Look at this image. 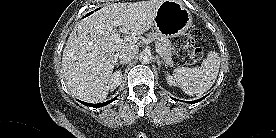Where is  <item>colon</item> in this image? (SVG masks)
Wrapping results in <instances>:
<instances>
[{
    "label": "colon",
    "instance_id": "obj_1",
    "mask_svg": "<svg viewBox=\"0 0 276 138\" xmlns=\"http://www.w3.org/2000/svg\"><path fill=\"white\" fill-rule=\"evenodd\" d=\"M203 37L201 30L194 29L182 37L173 40L174 59L179 65L193 64L201 60L203 50L195 44Z\"/></svg>",
    "mask_w": 276,
    "mask_h": 138
}]
</instances>
